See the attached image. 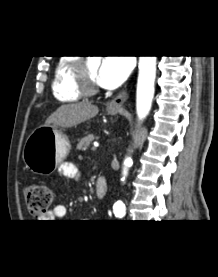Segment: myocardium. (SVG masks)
<instances>
[{
	"label": "myocardium",
	"instance_id": "f54148a6",
	"mask_svg": "<svg viewBox=\"0 0 218 277\" xmlns=\"http://www.w3.org/2000/svg\"><path fill=\"white\" fill-rule=\"evenodd\" d=\"M75 84L82 95H92L99 91L96 82L90 78L86 62L83 59L78 60L75 66Z\"/></svg>",
	"mask_w": 218,
	"mask_h": 277
}]
</instances>
